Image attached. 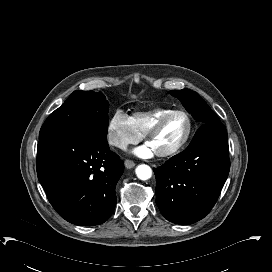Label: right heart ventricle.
I'll list each match as a JSON object with an SVG mask.
<instances>
[{
	"label": "right heart ventricle",
	"mask_w": 272,
	"mask_h": 272,
	"mask_svg": "<svg viewBox=\"0 0 272 272\" xmlns=\"http://www.w3.org/2000/svg\"><path fill=\"white\" fill-rule=\"evenodd\" d=\"M171 111V109H157L150 113H136L132 119L141 131H146L160 116Z\"/></svg>",
	"instance_id": "e07e8e85"
}]
</instances>
